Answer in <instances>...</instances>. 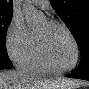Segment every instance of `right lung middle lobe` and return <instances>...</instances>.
I'll return each mask as SVG.
<instances>
[{
	"mask_svg": "<svg viewBox=\"0 0 89 89\" xmlns=\"http://www.w3.org/2000/svg\"><path fill=\"white\" fill-rule=\"evenodd\" d=\"M12 19V10H5L0 7V51L5 48L7 28Z\"/></svg>",
	"mask_w": 89,
	"mask_h": 89,
	"instance_id": "dd1d6c3e",
	"label": "right lung middle lobe"
}]
</instances>
